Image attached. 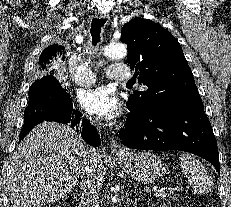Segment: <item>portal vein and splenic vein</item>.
Returning <instances> with one entry per match:
<instances>
[{
	"label": "portal vein and splenic vein",
	"mask_w": 231,
	"mask_h": 207,
	"mask_svg": "<svg viewBox=\"0 0 231 207\" xmlns=\"http://www.w3.org/2000/svg\"><path fill=\"white\" fill-rule=\"evenodd\" d=\"M165 194H166V191L164 189H161V190H157L154 195L155 196H163Z\"/></svg>",
	"instance_id": "18ae733b"
}]
</instances>
